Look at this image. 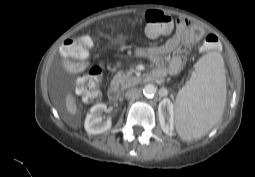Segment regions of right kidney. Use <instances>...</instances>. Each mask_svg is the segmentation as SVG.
Wrapping results in <instances>:
<instances>
[{
	"mask_svg": "<svg viewBox=\"0 0 255 177\" xmlns=\"http://www.w3.org/2000/svg\"><path fill=\"white\" fill-rule=\"evenodd\" d=\"M106 109L107 106L104 103L96 104L90 109L84 124L85 130L88 134H101L111 128V119L109 118L106 121H103L101 117V114L106 111Z\"/></svg>",
	"mask_w": 255,
	"mask_h": 177,
	"instance_id": "1",
	"label": "right kidney"
}]
</instances>
